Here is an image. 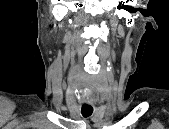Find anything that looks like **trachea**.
Wrapping results in <instances>:
<instances>
[{
    "label": "trachea",
    "instance_id": "obj_1",
    "mask_svg": "<svg viewBox=\"0 0 169 129\" xmlns=\"http://www.w3.org/2000/svg\"><path fill=\"white\" fill-rule=\"evenodd\" d=\"M81 113H82L83 117L87 118V117L92 115L93 107L88 106V105H83L82 108H81Z\"/></svg>",
    "mask_w": 169,
    "mask_h": 129
}]
</instances>
